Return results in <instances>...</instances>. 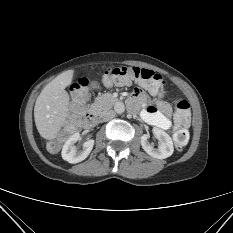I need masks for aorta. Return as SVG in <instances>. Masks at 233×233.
I'll use <instances>...</instances> for the list:
<instances>
[{"label": "aorta", "mask_w": 233, "mask_h": 233, "mask_svg": "<svg viewBox=\"0 0 233 233\" xmlns=\"http://www.w3.org/2000/svg\"><path fill=\"white\" fill-rule=\"evenodd\" d=\"M115 111L117 112V113H123L124 111H125V106H124V104L123 103H121V102H119V103H117L116 105H115Z\"/></svg>", "instance_id": "aorta-1"}]
</instances>
